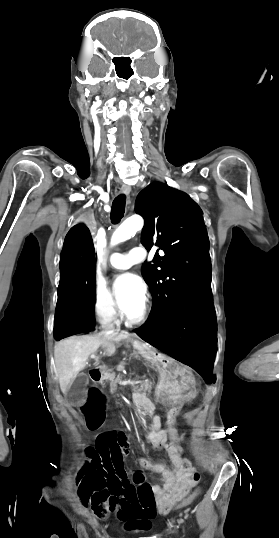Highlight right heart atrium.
I'll return each instance as SVG.
<instances>
[{
	"label": "right heart atrium",
	"mask_w": 279,
	"mask_h": 538,
	"mask_svg": "<svg viewBox=\"0 0 279 538\" xmlns=\"http://www.w3.org/2000/svg\"><path fill=\"white\" fill-rule=\"evenodd\" d=\"M94 312L97 321L101 324L112 321L120 314L117 301L98 283L95 287Z\"/></svg>",
	"instance_id": "d8ad5b80"
}]
</instances>
